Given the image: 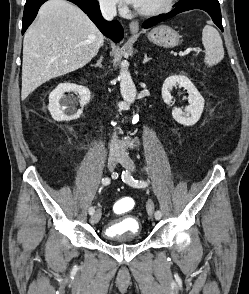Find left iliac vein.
Returning a JSON list of instances; mask_svg holds the SVG:
<instances>
[{"label": "left iliac vein", "mask_w": 249, "mask_h": 294, "mask_svg": "<svg viewBox=\"0 0 249 294\" xmlns=\"http://www.w3.org/2000/svg\"><path fill=\"white\" fill-rule=\"evenodd\" d=\"M118 161L129 171L135 170V164L127 153L121 152L119 154ZM147 211H148V214L152 216L154 211V204L152 200H148L147 202Z\"/></svg>", "instance_id": "4c4485c4"}]
</instances>
